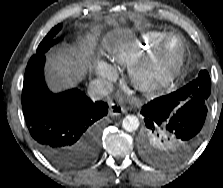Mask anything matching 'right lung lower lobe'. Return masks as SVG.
Segmentation results:
<instances>
[{
    "instance_id": "1",
    "label": "right lung lower lobe",
    "mask_w": 223,
    "mask_h": 188,
    "mask_svg": "<svg viewBox=\"0 0 223 188\" xmlns=\"http://www.w3.org/2000/svg\"><path fill=\"white\" fill-rule=\"evenodd\" d=\"M44 63V54H35L26 67L21 102L27 127L52 164L64 170L81 168L98 153L99 120L108 105L92 102L78 89L52 93L44 80Z\"/></svg>"
}]
</instances>
